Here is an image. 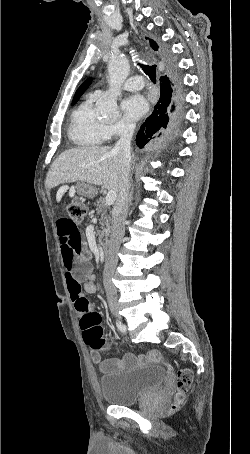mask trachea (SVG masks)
<instances>
[{"label":"trachea","instance_id":"trachea-1","mask_svg":"<svg viewBox=\"0 0 250 454\" xmlns=\"http://www.w3.org/2000/svg\"><path fill=\"white\" fill-rule=\"evenodd\" d=\"M142 70L145 72L146 75L149 76L150 80L153 83H156V66H149V65H143L139 64Z\"/></svg>","mask_w":250,"mask_h":454}]
</instances>
